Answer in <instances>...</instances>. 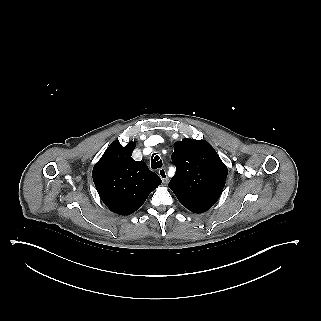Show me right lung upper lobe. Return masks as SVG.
I'll use <instances>...</instances> for the list:
<instances>
[{
	"label": "right lung upper lobe",
	"mask_w": 321,
	"mask_h": 321,
	"mask_svg": "<svg viewBox=\"0 0 321 321\" xmlns=\"http://www.w3.org/2000/svg\"><path fill=\"white\" fill-rule=\"evenodd\" d=\"M134 142L123 147L114 141L93 168L92 176L104 204L114 213L130 215L160 184V177L131 155Z\"/></svg>",
	"instance_id": "obj_1"
}]
</instances>
